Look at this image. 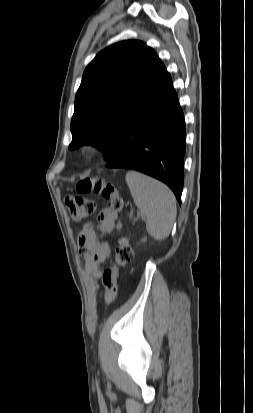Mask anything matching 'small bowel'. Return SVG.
I'll list each match as a JSON object with an SVG mask.
<instances>
[{
    "label": "small bowel",
    "instance_id": "small-bowel-1",
    "mask_svg": "<svg viewBox=\"0 0 253 413\" xmlns=\"http://www.w3.org/2000/svg\"><path fill=\"white\" fill-rule=\"evenodd\" d=\"M116 214L109 208H104L98 215V226H84L78 235V247L85 258L86 272L105 284L106 298L105 306L113 303L119 288L117 285L118 275L112 268L103 270L102 263L109 257L111 247L108 241L100 240L98 232L111 233L115 227Z\"/></svg>",
    "mask_w": 253,
    "mask_h": 413
}]
</instances>
